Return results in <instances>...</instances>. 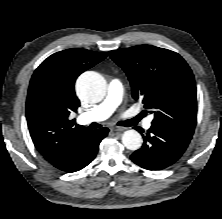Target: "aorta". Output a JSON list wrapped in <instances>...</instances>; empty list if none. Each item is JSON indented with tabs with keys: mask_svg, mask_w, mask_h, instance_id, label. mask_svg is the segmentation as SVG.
Returning <instances> with one entry per match:
<instances>
[{
	"mask_svg": "<svg viewBox=\"0 0 222 219\" xmlns=\"http://www.w3.org/2000/svg\"><path fill=\"white\" fill-rule=\"evenodd\" d=\"M79 97L90 103L101 101L106 94V81L97 72H84L76 82ZM122 143L129 150H137L142 145V137L136 130H127L122 135Z\"/></svg>",
	"mask_w": 222,
	"mask_h": 219,
	"instance_id": "aorta-1",
	"label": "aorta"
}]
</instances>
